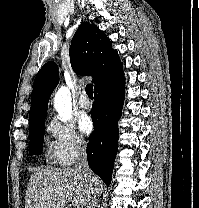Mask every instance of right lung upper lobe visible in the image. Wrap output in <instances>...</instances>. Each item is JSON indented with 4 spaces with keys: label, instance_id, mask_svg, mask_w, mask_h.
<instances>
[{
    "label": "right lung upper lobe",
    "instance_id": "cb5924a9",
    "mask_svg": "<svg viewBox=\"0 0 199 208\" xmlns=\"http://www.w3.org/2000/svg\"><path fill=\"white\" fill-rule=\"evenodd\" d=\"M69 55L77 74L92 76L94 91L124 76L117 51L112 49L106 34L94 24L84 23L78 28ZM58 82V67L54 62L46 63L36 75L29 112L30 130L45 123L48 101Z\"/></svg>",
    "mask_w": 199,
    "mask_h": 208
}]
</instances>
